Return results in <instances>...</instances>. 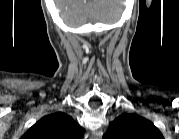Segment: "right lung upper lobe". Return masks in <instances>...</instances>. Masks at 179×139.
Segmentation results:
<instances>
[{"label":"right lung upper lobe","mask_w":179,"mask_h":139,"mask_svg":"<svg viewBox=\"0 0 179 139\" xmlns=\"http://www.w3.org/2000/svg\"><path fill=\"white\" fill-rule=\"evenodd\" d=\"M83 128L69 115L56 112L42 117L24 135L23 139H79Z\"/></svg>","instance_id":"obj_1"}]
</instances>
